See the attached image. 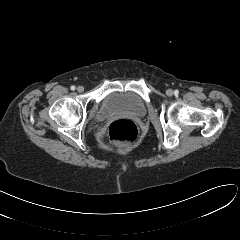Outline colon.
<instances>
[{
	"mask_svg": "<svg viewBox=\"0 0 240 240\" xmlns=\"http://www.w3.org/2000/svg\"><path fill=\"white\" fill-rule=\"evenodd\" d=\"M138 127L130 120H117L108 128L109 140L117 145L125 146L133 143L138 138Z\"/></svg>",
	"mask_w": 240,
	"mask_h": 240,
	"instance_id": "obj_1",
	"label": "colon"
}]
</instances>
